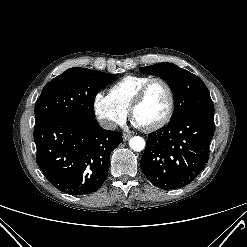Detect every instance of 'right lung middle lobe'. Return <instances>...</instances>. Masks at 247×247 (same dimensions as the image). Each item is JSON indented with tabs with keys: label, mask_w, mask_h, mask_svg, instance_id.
Wrapping results in <instances>:
<instances>
[{
	"label": "right lung middle lobe",
	"mask_w": 247,
	"mask_h": 247,
	"mask_svg": "<svg viewBox=\"0 0 247 247\" xmlns=\"http://www.w3.org/2000/svg\"><path fill=\"white\" fill-rule=\"evenodd\" d=\"M115 76L86 68H70L43 88L35 105V123L55 116L94 118L98 91Z\"/></svg>",
	"instance_id": "dd1d6c3e"
}]
</instances>
